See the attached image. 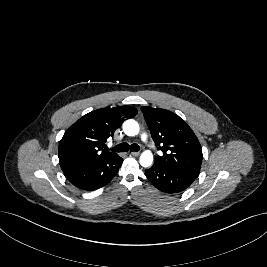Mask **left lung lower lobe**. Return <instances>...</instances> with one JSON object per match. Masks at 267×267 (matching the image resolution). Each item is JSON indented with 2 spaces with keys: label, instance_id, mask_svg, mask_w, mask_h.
<instances>
[{
  "label": "left lung lower lobe",
  "instance_id": "1",
  "mask_svg": "<svg viewBox=\"0 0 267 267\" xmlns=\"http://www.w3.org/2000/svg\"><path fill=\"white\" fill-rule=\"evenodd\" d=\"M145 174L157 189L166 193L181 192L196 179L193 176L169 170L155 163L145 170Z\"/></svg>",
  "mask_w": 267,
  "mask_h": 267
}]
</instances>
